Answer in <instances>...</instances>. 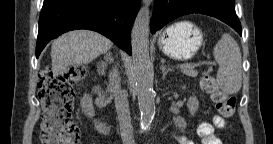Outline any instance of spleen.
Segmentation results:
<instances>
[{
    "instance_id": "3e777b00",
    "label": "spleen",
    "mask_w": 273,
    "mask_h": 144,
    "mask_svg": "<svg viewBox=\"0 0 273 144\" xmlns=\"http://www.w3.org/2000/svg\"><path fill=\"white\" fill-rule=\"evenodd\" d=\"M213 55L219 64L218 85L226 93H237L242 84L241 52L237 42L231 35L223 34L214 47Z\"/></svg>"
}]
</instances>
